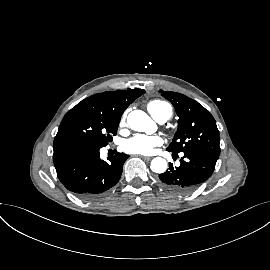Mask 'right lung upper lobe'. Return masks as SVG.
I'll use <instances>...</instances> for the list:
<instances>
[{"mask_svg": "<svg viewBox=\"0 0 270 270\" xmlns=\"http://www.w3.org/2000/svg\"><path fill=\"white\" fill-rule=\"evenodd\" d=\"M144 93L143 89L116 90L95 94L87 99L101 111L121 119L125 109Z\"/></svg>", "mask_w": 270, "mask_h": 270, "instance_id": "right-lung-upper-lobe-1", "label": "right lung upper lobe"}]
</instances>
